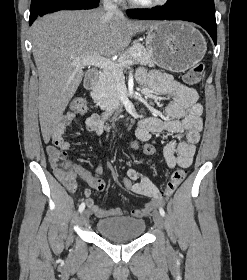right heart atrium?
Returning <instances> with one entry per match:
<instances>
[{"instance_id":"right-heart-atrium-1","label":"right heart atrium","mask_w":247,"mask_h":280,"mask_svg":"<svg viewBox=\"0 0 247 280\" xmlns=\"http://www.w3.org/2000/svg\"><path fill=\"white\" fill-rule=\"evenodd\" d=\"M111 1L117 2L118 0H111Z\"/></svg>"}]
</instances>
